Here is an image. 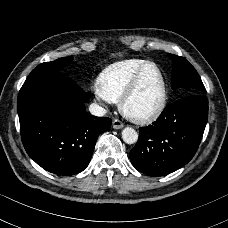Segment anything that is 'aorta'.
Masks as SVG:
<instances>
[{
	"mask_svg": "<svg viewBox=\"0 0 228 228\" xmlns=\"http://www.w3.org/2000/svg\"><path fill=\"white\" fill-rule=\"evenodd\" d=\"M122 139L127 144L136 143L138 140V133L132 127H126L122 131Z\"/></svg>",
	"mask_w": 228,
	"mask_h": 228,
	"instance_id": "1",
	"label": "aorta"
}]
</instances>
